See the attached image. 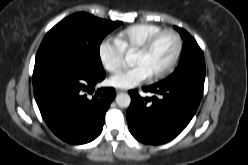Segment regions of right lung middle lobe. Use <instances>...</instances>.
I'll return each mask as SVG.
<instances>
[{
    "label": "right lung middle lobe",
    "instance_id": "1",
    "mask_svg": "<svg viewBox=\"0 0 248 165\" xmlns=\"http://www.w3.org/2000/svg\"><path fill=\"white\" fill-rule=\"evenodd\" d=\"M121 21H109L79 12L56 24L45 35L36 55L35 64L57 56H75L89 69L104 72L99 47L103 38Z\"/></svg>",
    "mask_w": 248,
    "mask_h": 165
}]
</instances>
